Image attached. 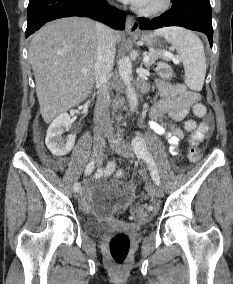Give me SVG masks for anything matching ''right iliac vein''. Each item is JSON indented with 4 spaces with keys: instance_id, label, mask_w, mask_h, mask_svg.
Listing matches in <instances>:
<instances>
[{
    "instance_id": "63e3f726",
    "label": "right iliac vein",
    "mask_w": 233,
    "mask_h": 284,
    "mask_svg": "<svg viewBox=\"0 0 233 284\" xmlns=\"http://www.w3.org/2000/svg\"><path fill=\"white\" fill-rule=\"evenodd\" d=\"M105 150V138L101 135H97L94 137V153L97 158V161H99V158L102 156L103 152ZM80 195L79 192L75 194V197L78 198Z\"/></svg>"
}]
</instances>
